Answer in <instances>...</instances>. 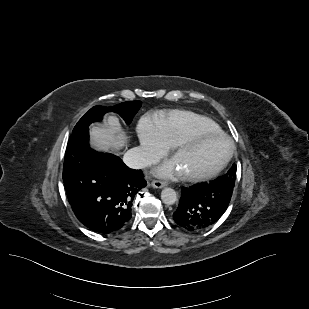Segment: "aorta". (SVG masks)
<instances>
[{
	"label": "aorta",
	"instance_id": "762f6f07",
	"mask_svg": "<svg viewBox=\"0 0 309 309\" xmlns=\"http://www.w3.org/2000/svg\"><path fill=\"white\" fill-rule=\"evenodd\" d=\"M161 200L165 205H173L177 201L176 191L172 188H165L161 192Z\"/></svg>",
	"mask_w": 309,
	"mask_h": 309
}]
</instances>
